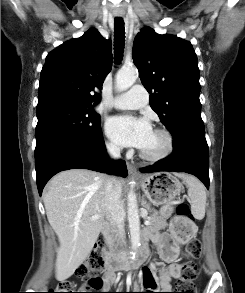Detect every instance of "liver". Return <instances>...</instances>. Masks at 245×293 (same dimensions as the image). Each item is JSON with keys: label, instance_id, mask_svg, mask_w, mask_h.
Returning a JSON list of instances; mask_svg holds the SVG:
<instances>
[{"label": "liver", "instance_id": "1", "mask_svg": "<svg viewBox=\"0 0 245 293\" xmlns=\"http://www.w3.org/2000/svg\"><path fill=\"white\" fill-rule=\"evenodd\" d=\"M185 178L183 174L177 175ZM108 177L85 169H70L54 176L43 192L47 219L59 248L55 277L65 281L85 261L102 230L105 184ZM123 185V180H118ZM98 215V218L92 217Z\"/></svg>", "mask_w": 245, "mask_h": 293}]
</instances>
